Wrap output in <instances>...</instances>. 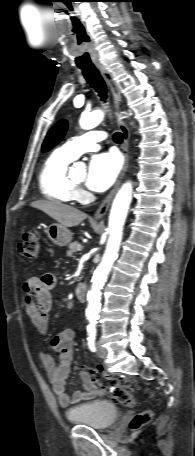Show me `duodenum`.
<instances>
[{
	"label": "duodenum",
	"mask_w": 195,
	"mask_h": 456,
	"mask_svg": "<svg viewBox=\"0 0 195 456\" xmlns=\"http://www.w3.org/2000/svg\"><path fill=\"white\" fill-rule=\"evenodd\" d=\"M76 297L79 301L84 302L87 298V286L84 283L77 284L75 288Z\"/></svg>",
	"instance_id": "duodenum-1"
}]
</instances>
